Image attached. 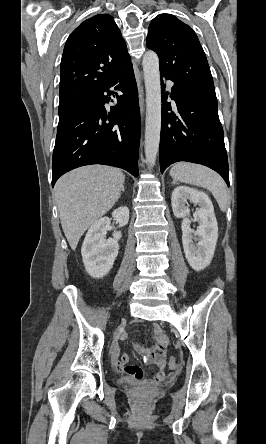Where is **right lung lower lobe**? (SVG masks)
<instances>
[{
	"instance_id": "98d812e1",
	"label": "right lung lower lobe",
	"mask_w": 266,
	"mask_h": 444,
	"mask_svg": "<svg viewBox=\"0 0 266 444\" xmlns=\"http://www.w3.org/2000/svg\"><path fill=\"white\" fill-rule=\"evenodd\" d=\"M111 87L120 93L109 91ZM113 94L117 105L107 114L104 104ZM140 132L138 91L130 62L83 104L59 118L52 187L64 173L90 164L119 167L137 177Z\"/></svg>"
}]
</instances>
